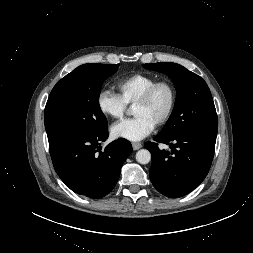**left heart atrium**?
<instances>
[{
    "label": "left heart atrium",
    "instance_id": "1",
    "mask_svg": "<svg viewBox=\"0 0 253 253\" xmlns=\"http://www.w3.org/2000/svg\"><path fill=\"white\" fill-rule=\"evenodd\" d=\"M155 124L144 116H135L132 119L124 120L111 127V133L116 138L129 141H140L150 135Z\"/></svg>",
    "mask_w": 253,
    "mask_h": 253
}]
</instances>
